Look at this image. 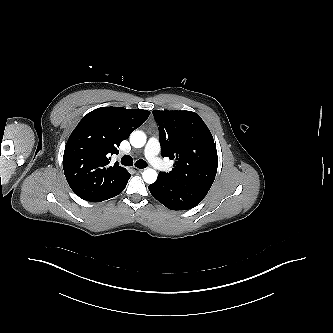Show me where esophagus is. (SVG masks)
I'll list each match as a JSON object with an SVG mask.
<instances>
[{
    "instance_id": "1",
    "label": "esophagus",
    "mask_w": 333,
    "mask_h": 333,
    "mask_svg": "<svg viewBox=\"0 0 333 333\" xmlns=\"http://www.w3.org/2000/svg\"><path fill=\"white\" fill-rule=\"evenodd\" d=\"M134 170H135L136 172H139V173H141V172L143 171V169H139V168H136V167H134Z\"/></svg>"
}]
</instances>
